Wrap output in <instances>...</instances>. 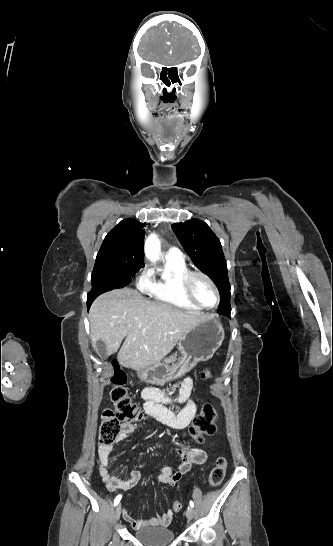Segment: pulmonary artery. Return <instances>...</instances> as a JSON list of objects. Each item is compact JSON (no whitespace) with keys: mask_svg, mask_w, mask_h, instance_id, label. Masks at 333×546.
<instances>
[{"mask_svg":"<svg viewBox=\"0 0 333 546\" xmlns=\"http://www.w3.org/2000/svg\"><path fill=\"white\" fill-rule=\"evenodd\" d=\"M166 259L183 260V254L177 247H171L165 255Z\"/></svg>","mask_w":333,"mask_h":546,"instance_id":"1","label":"pulmonary artery"}]
</instances>
